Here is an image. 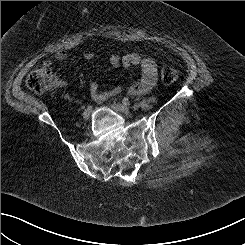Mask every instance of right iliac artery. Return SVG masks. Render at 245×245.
<instances>
[{
  "mask_svg": "<svg viewBox=\"0 0 245 245\" xmlns=\"http://www.w3.org/2000/svg\"><path fill=\"white\" fill-rule=\"evenodd\" d=\"M92 105L91 104H89L88 106H87V110H90V109H92Z\"/></svg>",
  "mask_w": 245,
  "mask_h": 245,
  "instance_id": "right-iliac-artery-1",
  "label": "right iliac artery"
}]
</instances>
